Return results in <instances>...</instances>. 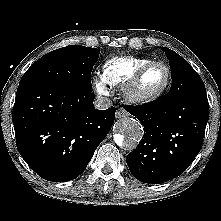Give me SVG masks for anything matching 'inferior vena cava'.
I'll use <instances>...</instances> for the list:
<instances>
[{
	"label": "inferior vena cava",
	"mask_w": 221,
	"mask_h": 221,
	"mask_svg": "<svg viewBox=\"0 0 221 221\" xmlns=\"http://www.w3.org/2000/svg\"><path fill=\"white\" fill-rule=\"evenodd\" d=\"M94 106L96 109L105 110L111 106V101L106 97H98L94 101Z\"/></svg>",
	"instance_id": "602c4592"
}]
</instances>
